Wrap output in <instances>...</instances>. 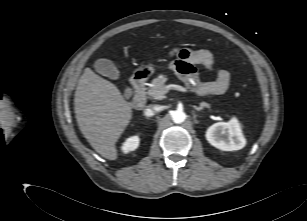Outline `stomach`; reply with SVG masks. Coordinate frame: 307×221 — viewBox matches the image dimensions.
Wrapping results in <instances>:
<instances>
[{
  "instance_id": "1",
  "label": "stomach",
  "mask_w": 307,
  "mask_h": 221,
  "mask_svg": "<svg viewBox=\"0 0 307 221\" xmlns=\"http://www.w3.org/2000/svg\"><path fill=\"white\" fill-rule=\"evenodd\" d=\"M144 68L150 69L152 73H153L154 70H155L154 67H153L152 65L144 66V67H141V68H139V69H144Z\"/></svg>"
}]
</instances>
